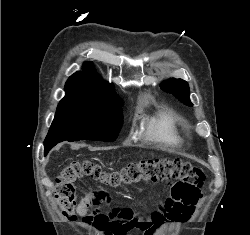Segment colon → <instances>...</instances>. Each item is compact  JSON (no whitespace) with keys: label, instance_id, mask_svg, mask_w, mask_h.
<instances>
[{"label":"colon","instance_id":"5ec220e1","mask_svg":"<svg viewBox=\"0 0 250 235\" xmlns=\"http://www.w3.org/2000/svg\"><path fill=\"white\" fill-rule=\"evenodd\" d=\"M88 177L99 180L110 187L148 182L174 181L171 198L188 206H194L200 199L205 182L203 171L189 161L182 159H145L134 161L120 170L106 171L91 161H72L66 165L56 179L55 202L67 220H75L77 207L76 181ZM111 200L104 191L91 192L85 201L87 208L85 222L94 225L104 235H126L135 228L152 232L155 223L137 218L127 207H113L106 210ZM179 218V217H177Z\"/></svg>","mask_w":250,"mask_h":235}]
</instances>
